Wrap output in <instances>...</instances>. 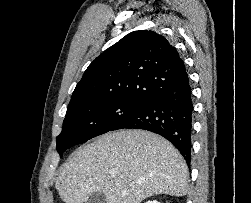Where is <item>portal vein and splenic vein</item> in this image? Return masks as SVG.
<instances>
[{
  "mask_svg": "<svg viewBox=\"0 0 251 203\" xmlns=\"http://www.w3.org/2000/svg\"><path fill=\"white\" fill-rule=\"evenodd\" d=\"M112 176L114 177V176H115V173H113Z\"/></svg>",
  "mask_w": 251,
  "mask_h": 203,
  "instance_id": "portal-vein-and-splenic-vein-1",
  "label": "portal vein and splenic vein"
}]
</instances>
